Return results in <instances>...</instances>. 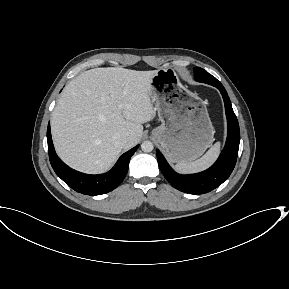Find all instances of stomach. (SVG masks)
<instances>
[{
    "label": "stomach",
    "mask_w": 289,
    "mask_h": 289,
    "mask_svg": "<svg viewBox=\"0 0 289 289\" xmlns=\"http://www.w3.org/2000/svg\"><path fill=\"white\" fill-rule=\"evenodd\" d=\"M150 85V95L161 121L152 131L153 138L171 162L197 159L214 136L205 102L188 90L171 68L157 70Z\"/></svg>",
    "instance_id": "obj_1"
}]
</instances>
